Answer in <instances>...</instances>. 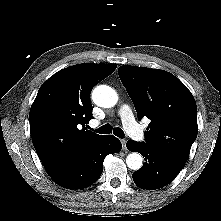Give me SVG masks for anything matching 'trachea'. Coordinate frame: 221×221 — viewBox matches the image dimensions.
Instances as JSON below:
<instances>
[{"label": "trachea", "mask_w": 221, "mask_h": 221, "mask_svg": "<svg viewBox=\"0 0 221 221\" xmlns=\"http://www.w3.org/2000/svg\"><path fill=\"white\" fill-rule=\"evenodd\" d=\"M96 132L100 134H110L113 132V134L119 138L124 137V132L121 128L116 127L113 129V127L110 124L101 126L100 128L96 130Z\"/></svg>", "instance_id": "obj_1"}]
</instances>
